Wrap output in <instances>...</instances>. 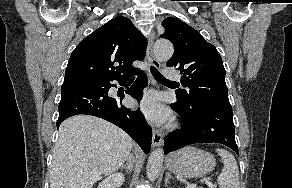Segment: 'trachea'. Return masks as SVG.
I'll use <instances>...</instances> for the list:
<instances>
[{"label":"trachea","mask_w":292,"mask_h":188,"mask_svg":"<svg viewBox=\"0 0 292 188\" xmlns=\"http://www.w3.org/2000/svg\"><path fill=\"white\" fill-rule=\"evenodd\" d=\"M153 77L159 81V82H166V83H176V82H173V81H170V80H167L165 77H163V75L155 68V67H151L150 69ZM133 79V78H132Z\"/></svg>","instance_id":"3493384b"}]
</instances>
